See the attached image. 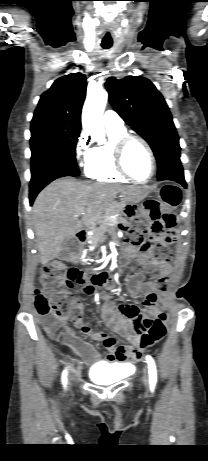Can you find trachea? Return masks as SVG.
Instances as JSON below:
<instances>
[{
    "instance_id": "3493384b",
    "label": "trachea",
    "mask_w": 208,
    "mask_h": 461,
    "mask_svg": "<svg viewBox=\"0 0 208 461\" xmlns=\"http://www.w3.org/2000/svg\"><path fill=\"white\" fill-rule=\"evenodd\" d=\"M101 46H102V48H104V49H109V48L112 46V44H103V43H102Z\"/></svg>"
}]
</instances>
